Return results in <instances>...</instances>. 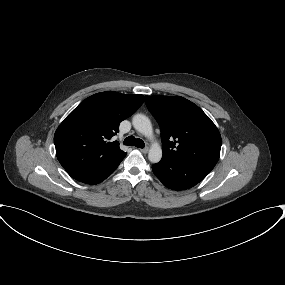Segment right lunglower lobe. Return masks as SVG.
Segmentation results:
<instances>
[{"instance_id":"98d812e1","label":"right lung lower lobe","mask_w":285,"mask_h":285,"mask_svg":"<svg viewBox=\"0 0 285 285\" xmlns=\"http://www.w3.org/2000/svg\"><path fill=\"white\" fill-rule=\"evenodd\" d=\"M120 162L103 171L102 170L84 171L75 166L65 168V170L72 178L76 179L77 181L93 185L100 183L101 181L105 180L109 175H111L114 172V170L118 167Z\"/></svg>"}]
</instances>
